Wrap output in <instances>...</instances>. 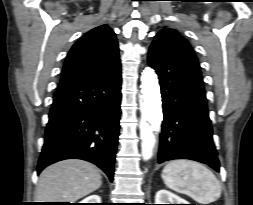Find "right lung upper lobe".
Listing matches in <instances>:
<instances>
[{"label":"right lung upper lobe","mask_w":253,"mask_h":205,"mask_svg":"<svg viewBox=\"0 0 253 205\" xmlns=\"http://www.w3.org/2000/svg\"><path fill=\"white\" fill-rule=\"evenodd\" d=\"M115 33L107 25L90 30L69 51L60 85L100 75L119 64Z\"/></svg>","instance_id":"cb5924a9"}]
</instances>
